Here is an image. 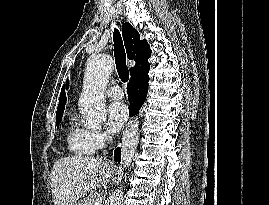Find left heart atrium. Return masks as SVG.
Segmentation results:
<instances>
[{
  "mask_svg": "<svg viewBox=\"0 0 269 205\" xmlns=\"http://www.w3.org/2000/svg\"><path fill=\"white\" fill-rule=\"evenodd\" d=\"M128 117V110L124 103L115 102L110 105L107 113V129L110 133H117L124 126Z\"/></svg>",
  "mask_w": 269,
  "mask_h": 205,
  "instance_id": "39dd6f15",
  "label": "left heart atrium"
}]
</instances>
